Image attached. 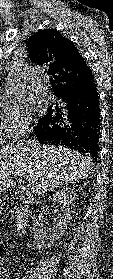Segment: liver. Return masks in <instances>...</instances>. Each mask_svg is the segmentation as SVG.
Returning <instances> with one entry per match:
<instances>
[{"mask_svg": "<svg viewBox=\"0 0 113 279\" xmlns=\"http://www.w3.org/2000/svg\"><path fill=\"white\" fill-rule=\"evenodd\" d=\"M93 167L90 156L61 146L37 142L6 145L0 149V192L13 184L12 172L41 195L64 183L85 179Z\"/></svg>", "mask_w": 113, "mask_h": 279, "instance_id": "liver-1", "label": "liver"}]
</instances>
